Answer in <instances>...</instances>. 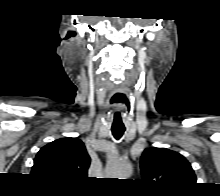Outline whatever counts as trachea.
<instances>
[{
    "label": "trachea",
    "instance_id": "3493384b",
    "mask_svg": "<svg viewBox=\"0 0 220 196\" xmlns=\"http://www.w3.org/2000/svg\"><path fill=\"white\" fill-rule=\"evenodd\" d=\"M111 131L115 139L119 140L124 134L125 128H112Z\"/></svg>",
    "mask_w": 220,
    "mask_h": 196
}]
</instances>
